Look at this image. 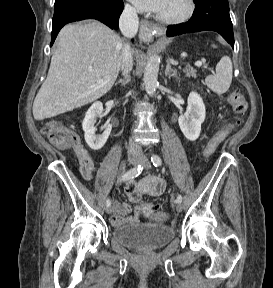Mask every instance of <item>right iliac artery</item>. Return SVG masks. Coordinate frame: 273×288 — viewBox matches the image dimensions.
Segmentation results:
<instances>
[{"mask_svg": "<svg viewBox=\"0 0 273 288\" xmlns=\"http://www.w3.org/2000/svg\"><path fill=\"white\" fill-rule=\"evenodd\" d=\"M143 170V163L137 165L136 167L128 170L123 176H121L118 179V182H122V181H126V180H131L135 177H137ZM111 205V201L110 199H107L106 201V206H110Z\"/></svg>", "mask_w": 273, "mask_h": 288, "instance_id": "right-iliac-artery-1", "label": "right iliac artery"}]
</instances>
